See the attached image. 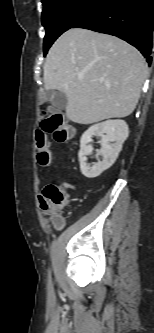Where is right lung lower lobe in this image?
Segmentation results:
<instances>
[{"instance_id":"98d812e1","label":"right lung lower lobe","mask_w":154,"mask_h":333,"mask_svg":"<svg viewBox=\"0 0 154 333\" xmlns=\"http://www.w3.org/2000/svg\"><path fill=\"white\" fill-rule=\"evenodd\" d=\"M72 28L117 36L135 46L151 64L154 0H99Z\"/></svg>"}]
</instances>
